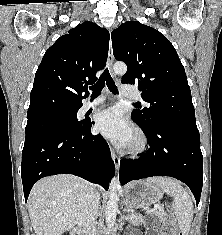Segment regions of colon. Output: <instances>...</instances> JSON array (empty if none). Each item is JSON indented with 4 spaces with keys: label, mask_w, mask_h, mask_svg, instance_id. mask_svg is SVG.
<instances>
[{
    "label": "colon",
    "mask_w": 222,
    "mask_h": 235,
    "mask_svg": "<svg viewBox=\"0 0 222 235\" xmlns=\"http://www.w3.org/2000/svg\"><path fill=\"white\" fill-rule=\"evenodd\" d=\"M159 235H182V233L177 228L175 222L172 219H168L162 225Z\"/></svg>",
    "instance_id": "1"
}]
</instances>
